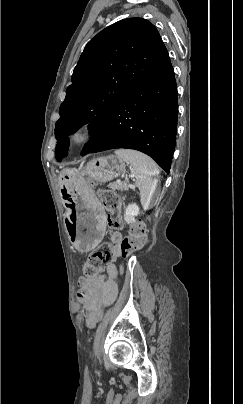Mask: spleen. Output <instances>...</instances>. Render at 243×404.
Returning <instances> with one entry per match:
<instances>
[{"label":"spleen","instance_id":"1","mask_svg":"<svg viewBox=\"0 0 243 404\" xmlns=\"http://www.w3.org/2000/svg\"><path fill=\"white\" fill-rule=\"evenodd\" d=\"M115 154L132 166L136 178L135 184L140 190L142 208L150 210L153 206V194L158 184L159 170L155 162L149 156L136 152V150H116Z\"/></svg>","mask_w":243,"mask_h":404}]
</instances>
